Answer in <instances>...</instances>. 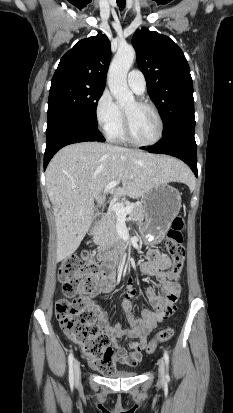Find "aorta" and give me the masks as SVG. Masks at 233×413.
I'll use <instances>...</instances> for the list:
<instances>
[{"instance_id": "1", "label": "aorta", "mask_w": 233, "mask_h": 413, "mask_svg": "<svg viewBox=\"0 0 233 413\" xmlns=\"http://www.w3.org/2000/svg\"><path fill=\"white\" fill-rule=\"evenodd\" d=\"M136 56L131 46L120 47L108 71V86L119 106L134 103V95L127 85V73Z\"/></svg>"}]
</instances>
